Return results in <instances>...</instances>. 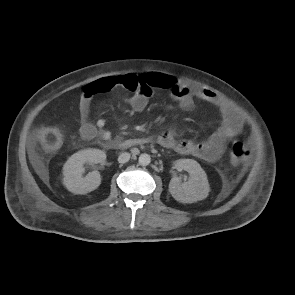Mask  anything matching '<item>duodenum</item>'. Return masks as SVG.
Wrapping results in <instances>:
<instances>
[{"mask_svg":"<svg viewBox=\"0 0 295 295\" xmlns=\"http://www.w3.org/2000/svg\"><path fill=\"white\" fill-rule=\"evenodd\" d=\"M147 139L111 140L104 144L107 149H128L147 143Z\"/></svg>","mask_w":295,"mask_h":295,"instance_id":"duodenum-1","label":"duodenum"}]
</instances>
